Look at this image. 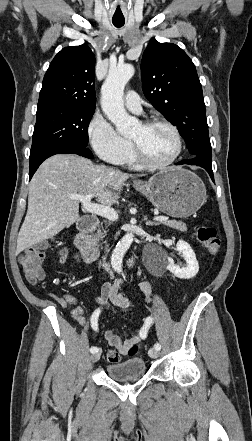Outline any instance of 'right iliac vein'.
<instances>
[{
	"label": "right iliac vein",
	"mask_w": 252,
	"mask_h": 441,
	"mask_svg": "<svg viewBox=\"0 0 252 441\" xmlns=\"http://www.w3.org/2000/svg\"><path fill=\"white\" fill-rule=\"evenodd\" d=\"M100 356H101V352H100V351L94 353V354L91 356V361H92V363L97 362V361L100 359Z\"/></svg>",
	"instance_id": "1"
}]
</instances>
